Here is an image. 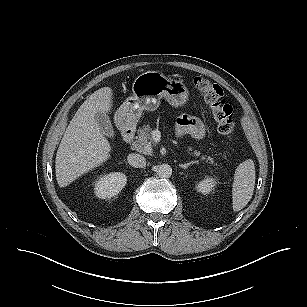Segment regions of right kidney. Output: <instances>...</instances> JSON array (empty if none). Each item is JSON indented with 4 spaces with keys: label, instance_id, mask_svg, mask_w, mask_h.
I'll return each instance as SVG.
<instances>
[{
    "label": "right kidney",
    "instance_id": "ca27d5eb",
    "mask_svg": "<svg viewBox=\"0 0 307 307\" xmlns=\"http://www.w3.org/2000/svg\"><path fill=\"white\" fill-rule=\"evenodd\" d=\"M126 183L127 177L121 172L103 175L95 183V195L101 199L114 197L119 194Z\"/></svg>",
    "mask_w": 307,
    "mask_h": 307
}]
</instances>
